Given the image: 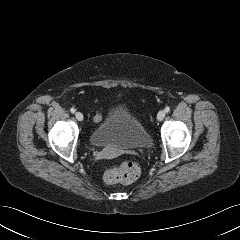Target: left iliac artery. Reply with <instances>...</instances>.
<instances>
[{
	"label": "left iliac artery",
	"mask_w": 240,
	"mask_h": 240,
	"mask_svg": "<svg viewBox=\"0 0 240 240\" xmlns=\"http://www.w3.org/2000/svg\"><path fill=\"white\" fill-rule=\"evenodd\" d=\"M169 111H170V107L167 106V107L165 108V112L168 113Z\"/></svg>",
	"instance_id": "obj_1"
}]
</instances>
